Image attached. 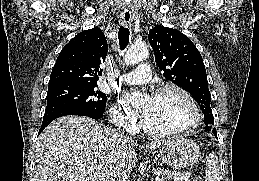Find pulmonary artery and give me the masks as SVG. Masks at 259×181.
<instances>
[{"label": "pulmonary artery", "mask_w": 259, "mask_h": 181, "mask_svg": "<svg viewBox=\"0 0 259 181\" xmlns=\"http://www.w3.org/2000/svg\"><path fill=\"white\" fill-rule=\"evenodd\" d=\"M150 76L151 67L147 62H143L137 71L122 74L118 80L126 84H143L150 79Z\"/></svg>", "instance_id": "pulmonary-artery-1"}]
</instances>
